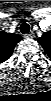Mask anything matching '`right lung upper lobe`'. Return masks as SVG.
Segmentation results:
<instances>
[{
    "instance_id": "right-lung-upper-lobe-1",
    "label": "right lung upper lobe",
    "mask_w": 51,
    "mask_h": 101,
    "mask_svg": "<svg viewBox=\"0 0 51 101\" xmlns=\"http://www.w3.org/2000/svg\"><path fill=\"white\" fill-rule=\"evenodd\" d=\"M22 39L19 34L0 31V62L7 60L16 44Z\"/></svg>"
}]
</instances>
